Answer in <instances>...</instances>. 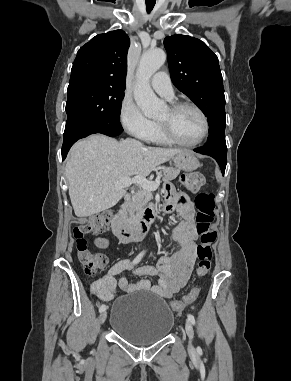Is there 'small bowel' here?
I'll use <instances>...</instances> for the list:
<instances>
[{"label":"small bowel","instance_id":"1","mask_svg":"<svg viewBox=\"0 0 291 381\" xmlns=\"http://www.w3.org/2000/svg\"><path fill=\"white\" fill-rule=\"evenodd\" d=\"M164 208L167 212L176 211L182 218L172 232L178 249L172 255L162 256L155 266L142 265L134 268L129 259L116 262L102 277L91 284L92 293L100 300L104 302L112 300L118 288L125 292L148 291L163 298H170L187 284L197 254L193 224L194 207L188 201L177 204L174 190L168 188ZM95 244L104 247L106 239L99 237L95 240ZM126 270H132L140 277H156L158 282L156 285H151L148 279H141L136 283H130L126 277L117 281L116 277Z\"/></svg>","mask_w":291,"mask_h":381}]
</instances>
